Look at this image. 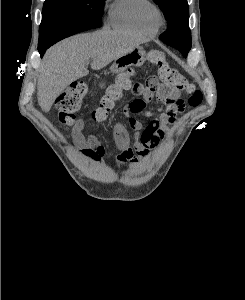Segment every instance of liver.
<instances>
[{"instance_id":"liver-1","label":"liver","mask_w":245,"mask_h":300,"mask_svg":"<svg viewBox=\"0 0 245 300\" xmlns=\"http://www.w3.org/2000/svg\"><path fill=\"white\" fill-rule=\"evenodd\" d=\"M141 40L129 33L102 29L68 38L51 47L42 60L37 82L40 107L48 112L59 94L72 82L88 75L87 65L100 70L139 47Z\"/></svg>"}]
</instances>
